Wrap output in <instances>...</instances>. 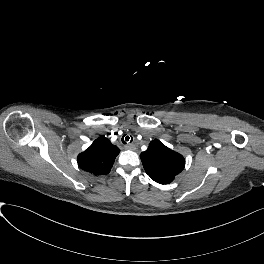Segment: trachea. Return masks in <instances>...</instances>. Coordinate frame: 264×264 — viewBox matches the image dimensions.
Returning a JSON list of instances; mask_svg holds the SVG:
<instances>
[{
	"label": "trachea",
	"mask_w": 264,
	"mask_h": 264,
	"mask_svg": "<svg viewBox=\"0 0 264 264\" xmlns=\"http://www.w3.org/2000/svg\"><path fill=\"white\" fill-rule=\"evenodd\" d=\"M132 141H133L132 136H124V137H122V142L124 144H130Z\"/></svg>",
	"instance_id": "3493384b"
}]
</instances>
